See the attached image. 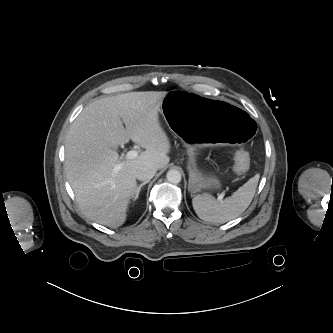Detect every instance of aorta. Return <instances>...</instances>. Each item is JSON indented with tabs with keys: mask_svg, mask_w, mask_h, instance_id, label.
<instances>
[{
	"mask_svg": "<svg viewBox=\"0 0 333 333\" xmlns=\"http://www.w3.org/2000/svg\"><path fill=\"white\" fill-rule=\"evenodd\" d=\"M166 177H167L168 182L173 183V184H177V183L181 182V180H182L181 173L175 169L169 170L167 172Z\"/></svg>",
	"mask_w": 333,
	"mask_h": 333,
	"instance_id": "762f6f07",
	"label": "aorta"
}]
</instances>
